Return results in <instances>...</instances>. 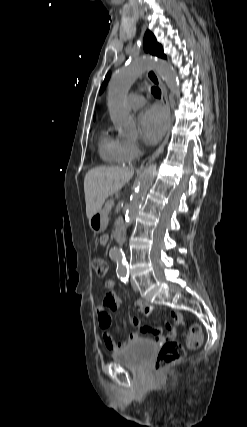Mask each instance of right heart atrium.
<instances>
[{"mask_svg": "<svg viewBox=\"0 0 247 427\" xmlns=\"http://www.w3.org/2000/svg\"><path fill=\"white\" fill-rule=\"evenodd\" d=\"M126 151L129 159L137 157L140 153V147L137 142L132 140L126 141Z\"/></svg>", "mask_w": 247, "mask_h": 427, "instance_id": "obj_1", "label": "right heart atrium"}]
</instances>
